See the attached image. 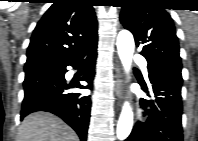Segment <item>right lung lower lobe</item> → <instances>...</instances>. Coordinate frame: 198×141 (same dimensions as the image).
<instances>
[{
    "instance_id": "98d812e1",
    "label": "right lung lower lobe",
    "mask_w": 198,
    "mask_h": 141,
    "mask_svg": "<svg viewBox=\"0 0 198 141\" xmlns=\"http://www.w3.org/2000/svg\"><path fill=\"white\" fill-rule=\"evenodd\" d=\"M85 56L87 58L84 60ZM96 57L97 40L90 42L68 61L26 72L21 119L36 111L51 112L69 124L82 141H86L91 108L90 96L69 93L67 90L71 87L92 89ZM83 61L90 62L87 72L81 78L88 85L83 86L79 83L67 85L64 76L67 72L66 67L77 68Z\"/></svg>"
}]
</instances>
